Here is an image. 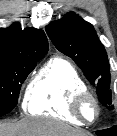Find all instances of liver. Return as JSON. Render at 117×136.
Listing matches in <instances>:
<instances>
[{
  "label": "liver",
  "mask_w": 117,
  "mask_h": 136,
  "mask_svg": "<svg viewBox=\"0 0 117 136\" xmlns=\"http://www.w3.org/2000/svg\"><path fill=\"white\" fill-rule=\"evenodd\" d=\"M0 136H91L59 121L23 119L17 123H0Z\"/></svg>",
  "instance_id": "6515ba94"
}]
</instances>
